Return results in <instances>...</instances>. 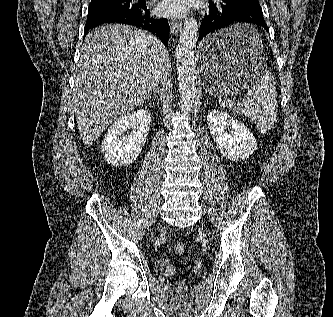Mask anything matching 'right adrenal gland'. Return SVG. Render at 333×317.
I'll return each instance as SVG.
<instances>
[{"instance_id":"obj_1","label":"right adrenal gland","mask_w":333,"mask_h":317,"mask_svg":"<svg viewBox=\"0 0 333 317\" xmlns=\"http://www.w3.org/2000/svg\"><path fill=\"white\" fill-rule=\"evenodd\" d=\"M158 92H159V87L154 88V90H153V94H152V95H149L147 99H148V100H149V99H157V100H159V99H158Z\"/></svg>"}]
</instances>
